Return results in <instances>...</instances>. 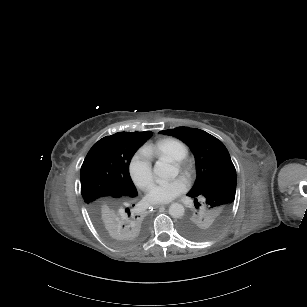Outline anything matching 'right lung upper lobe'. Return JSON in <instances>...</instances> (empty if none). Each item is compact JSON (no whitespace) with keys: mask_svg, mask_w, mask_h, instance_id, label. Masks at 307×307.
I'll list each match as a JSON object with an SVG mask.
<instances>
[{"mask_svg":"<svg viewBox=\"0 0 307 307\" xmlns=\"http://www.w3.org/2000/svg\"><path fill=\"white\" fill-rule=\"evenodd\" d=\"M152 132H118L99 140L87 154L111 169L119 180V188L111 194L85 202L96 224L106 231L139 236L147 227L149 217L141 205L129 175V163L136 150Z\"/></svg>","mask_w":307,"mask_h":307,"instance_id":"1","label":"right lung upper lobe"}]
</instances>
